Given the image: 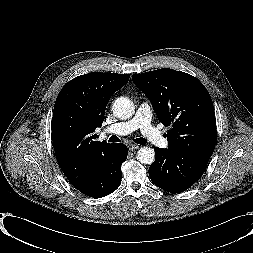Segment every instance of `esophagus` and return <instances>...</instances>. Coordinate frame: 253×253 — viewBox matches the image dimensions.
<instances>
[{
  "label": "esophagus",
  "instance_id": "34e87169",
  "mask_svg": "<svg viewBox=\"0 0 253 253\" xmlns=\"http://www.w3.org/2000/svg\"><path fill=\"white\" fill-rule=\"evenodd\" d=\"M128 149H129L130 151H135V150L139 149V145H136V144H129V145H128Z\"/></svg>",
  "mask_w": 253,
  "mask_h": 253
}]
</instances>
